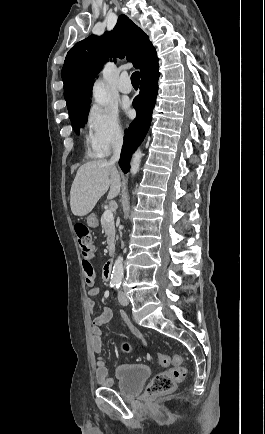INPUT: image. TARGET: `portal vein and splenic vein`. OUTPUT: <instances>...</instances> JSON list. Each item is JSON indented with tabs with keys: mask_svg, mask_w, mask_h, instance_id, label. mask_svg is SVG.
<instances>
[{
	"mask_svg": "<svg viewBox=\"0 0 265 434\" xmlns=\"http://www.w3.org/2000/svg\"><path fill=\"white\" fill-rule=\"evenodd\" d=\"M102 218L104 222H112V220H114L111 210H105Z\"/></svg>",
	"mask_w": 265,
	"mask_h": 434,
	"instance_id": "obj_1",
	"label": "portal vein and splenic vein"
}]
</instances>
